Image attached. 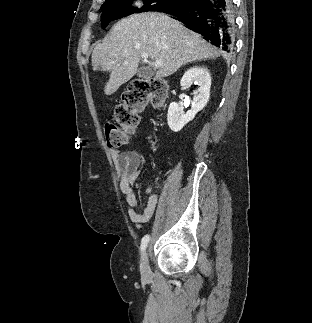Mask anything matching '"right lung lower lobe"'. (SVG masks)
Instances as JSON below:
<instances>
[{
  "mask_svg": "<svg viewBox=\"0 0 312 323\" xmlns=\"http://www.w3.org/2000/svg\"><path fill=\"white\" fill-rule=\"evenodd\" d=\"M231 0H182L161 12L171 14L205 40L231 52L234 47V14Z\"/></svg>",
  "mask_w": 312,
  "mask_h": 323,
  "instance_id": "obj_1",
  "label": "right lung lower lobe"
}]
</instances>
